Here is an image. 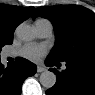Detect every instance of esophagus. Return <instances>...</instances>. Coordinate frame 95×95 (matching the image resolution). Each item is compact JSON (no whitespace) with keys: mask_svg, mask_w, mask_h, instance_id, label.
Masks as SVG:
<instances>
[{"mask_svg":"<svg viewBox=\"0 0 95 95\" xmlns=\"http://www.w3.org/2000/svg\"><path fill=\"white\" fill-rule=\"evenodd\" d=\"M46 70V68H44V67H42V66H37V72L38 73H41V72H43V71H45Z\"/></svg>","mask_w":95,"mask_h":95,"instance_id":"34e87169","label":"esophagus"}]
</instances>
